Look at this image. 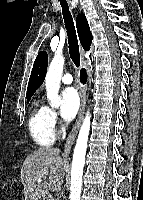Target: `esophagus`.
Here are the masks:
<instances>
[{
	"label": "esophagus",
	"mask_w": 143,
	"mask_h": 200,
	"mask_svg": "<svg viewBox=\"0 0 143 200\" xmlns=\"http://www.w3.org/2000/svg\"><path fill=\"white\" fill-rule=\"evenodd\" d=\"M80 55H81V66L85 67L86 61H85V51L81 48L80 49ZM79 95H80V108L78 112L77 119L72 127L71 132L68 135V138L66 140L65 146H64V157L67 158L71 152L73 142L76 138L77 132L80 128L82 119H83V114H84V109H85V104H86V89L84 85H81L79 87Z\"/></svg>",
	"instance_id": "34e87169"
}]
</instances>
